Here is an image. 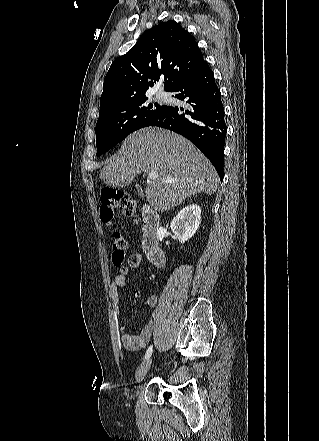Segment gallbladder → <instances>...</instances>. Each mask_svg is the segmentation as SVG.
<instances>
[{"instance_id": "bac80fb5", "label": "gallbladder", "mask_w": 319, "mask_h": 441, "mask_svg": "<svg viewBox=\"0 0 319 441\" xmlns=\"http://www.w3.org/2000/svg\"><path fill=\"white\" fill-rule=\"evenodd\" d=\"M136 188L138 189L139 192H142V188L140 185H136Z\"/></svg>"}]
</instances>
